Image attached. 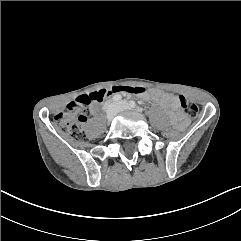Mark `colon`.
<instances>
[{
	"label": "colon",
	"mask_w": 241,
	"mask_h": 241,
	"mask_svg": "<svg viewBox=\"0 0 241 241\" xmlns=\"http://www.w3.org/2000/svg\"><path fill=\"white\" fill-rule=\"evenodd\" d=\"M115 92L127 94L141 95L146 92V89L138 86H119L113 88L102 89L88 95L78 97L75 101L68 104L66 111L56 114L55 120L59 124L63 132L70 135L76 141H84L86 134L84 131V123L86 121L85 109L95 101H102L105 97ZM183 113L190 117L196 118L198 115V107L182 95L176 96ZM175 129H161L159 136L164 140H172L177 136Z\"/></svg>",
	"instance_id": "colon-1"
}]
</instances>
